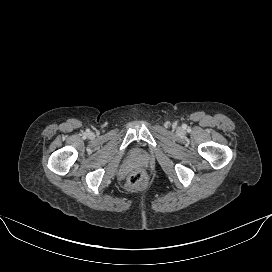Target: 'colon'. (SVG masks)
Wrapping results in <instances>:
<instances>
[{
    "instance_id": "colon-1",
    "label": "colon",
    "mask_w": 272,
    "mask_h": 272,
    "mask_svg": "<svg viewBox=\"0 0 272 272\" xmlns=\"http://www.w3.org/2000/svg\"><path fill=\"white\" fill-rule=\"evenodd\" d=\"M146 182V173L142 169L134 170L127 179V184L132 189L141 188Z\"/></svg>"
}]
</instances>
